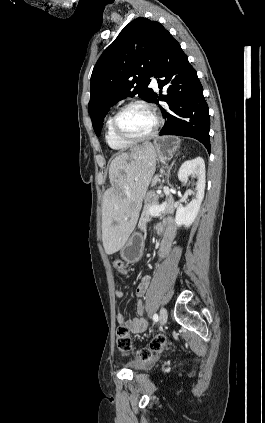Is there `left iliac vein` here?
Listing matches in <instances>:
<instances>
[{
  "label": "left iliac vein",
  "mask_w": 265,
  "mask_h": 423,
  "mask_svg": "<svg viewBox=\"0 0 265 423\" xmlns=\"http://www.w3.org/2000/svg\"><path fill=\"white\" fill-rule=\"evenodd\" d=\"M167 319H168V313H167V310L163 307V308H161L160 313H159L160 324L161 325L166 324Z\"/></svg>",
  "instance_id": "obj_1"
}]
</instances>
